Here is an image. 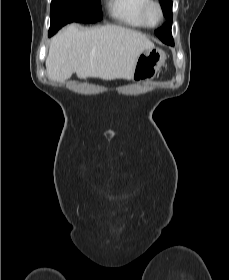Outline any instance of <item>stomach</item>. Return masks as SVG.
Here are the masks:
<instances>
[{"label": "stomach", "instance_id": "0dacf381", "mask_svg": "<svg viewBox=\"0 0 229 280\" xmlns=\"http://www.w3.org/2000/svg\"><path fill=\"white\" fill-rule=\"evenodd\" d=\"M166 60L163 50L153 47L145 50L137 59L132 80L141 82L153 79L160 71Z\"/></svg>", "mask_w": 229, "mask_h": 280}]
</instances>
